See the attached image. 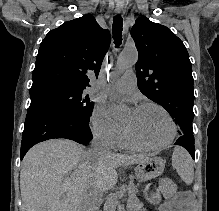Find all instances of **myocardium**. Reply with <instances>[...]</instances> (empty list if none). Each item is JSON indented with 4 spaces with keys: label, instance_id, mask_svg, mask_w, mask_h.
Wrapping results in <instances>:
<instances>
[{
    "label": "myocardium",
    "instance_id": "myocardium-1",
    "mask_svg": "<svg viewBox=\"0 0 219 211\" xmlns=\"http://www.w3.org/2000/svg\"><path fill=\"white\" fill-rule=\"evenodd\" d=\"M145 106H154L159 108L168 118V121L170 123V136L169 138L161 143V144H147L142 142L141 140H139L137 137H135L130 130L128 129V127L123 123V129H124V134L126 136V138L136 147L141 148V149H146V150H159V149H163L166 148L167 146H169L175 139L176 136V132H177V128H176V124L175 121L171 115V113L161 104L154 102V101H144L141 102L139 104H137L134 108H142Z\"/></svg>",
    "mask_w": 219,
    "mask_h": 211
}]
</instances>
